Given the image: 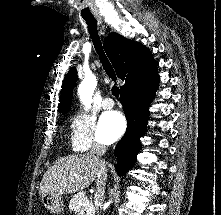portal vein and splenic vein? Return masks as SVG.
<instances>
[{"label":"portal vein and splenic vein","instance_id":"1","mask_svg":"<svg viewBox=\"0 0 221 215\" xmlns=\"http://www.w3.org/2000/svg\"><path fill=\"white\" fill-rule=\"evenodd\" d=\"M89 204V200H85L84 202L80 203V206H87Z\"/></svg>","mask_w":221,"mask_h":215}]
</instances>
